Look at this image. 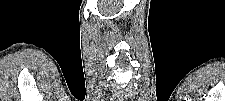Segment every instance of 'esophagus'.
<instances>
[{
	"label": "esophagus",
	"mask_w": 225,
	"mask_h": 101,
	"mask_svg": "<svg viewBox=\"0 0 225 101\" xmlns=\"http://www.w3.org/2000/svg\"><path fill=\"white\" fill-rule=\"evenodd\" d=\"M118 100H119V101H124L125 98H124L123 96H120V97H118Z\"/></svg>",
	"instance_id": "esophagus-1"
}]
</instances>
